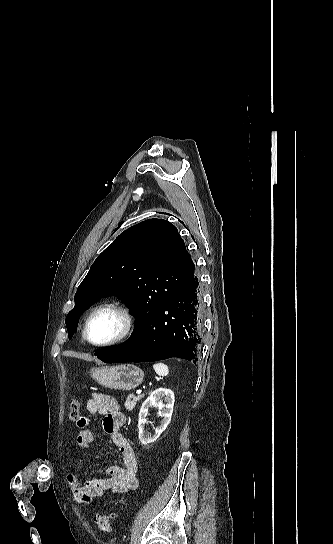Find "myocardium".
Returning <instances> with one entry per match:
<instances>
[{
  "label": "myocardium",
  "mask_w": 333,
  "mask_h": 544,
  "mask_svg": "<svg viewBox=\"0 0 333 544\" xmlns=\"http://www.w3.org/2000/svg\"><path fill=\"white\" fill-rule=\"evenodd\" d=\"M105 309H111L118 313L122 319V328L117 336L112 338L111 340L105 341V342H93L88 335V328L89 324L92 320V318L100 311ZM135 325V320L132 312L130 309L121 301L110 299L101 302L97 306H95L87 316L84 327H83V337L84 339L92 346L95 347H109L116 345L122 341H124L133 331Z\"/></svg>",
  "instance_id": "f54148a6"
}]
</instances>
